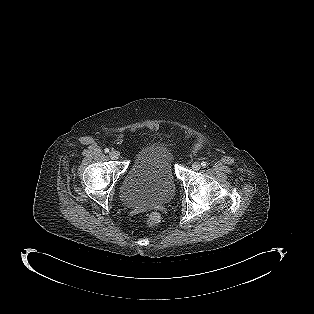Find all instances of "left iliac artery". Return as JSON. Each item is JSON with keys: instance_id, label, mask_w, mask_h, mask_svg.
<instances>
[{"instance_id": "obj_1", "label": "left iliac artery", "mask_w": 314, "mask_h": 314, "mask_svg": "<svg viewBox=\"0 0 314 314\" xmlns=\"http://www.w3.org/2000/svg\"><path fill=\"white\" fill-rule=\"evenodd\" d=\"M201 165H202V167H206L207 162L203 161V162L201 163Z\"/></svg>"}]
</instances>
